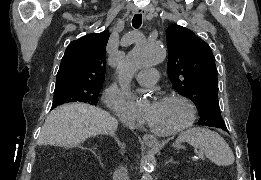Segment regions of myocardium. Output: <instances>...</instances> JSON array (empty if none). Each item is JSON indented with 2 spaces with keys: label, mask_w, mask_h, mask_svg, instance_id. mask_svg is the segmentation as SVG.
<instances>
[{
  "label": "myocardium",
  "mask_w": 261,
  "mask_h": 180,
  "mask_svg": "<svg viewBox=\"0 0 261 180\" xmlns=\"http://www.w3.org/2000/svg\"><path fill=\"white\" fill-rule=\"evenodd\" d=\"M162 98L177 99L186 106L187 113H186V117L183 121L181 128L179 129V131H177L175 133L166 134V135H154L149 132L146 124L144 123L145 131L147 132L148 136H154L158 139L177 140V139L181 138L188 131V129L192 126L194 119H195V105L188 96H186L185 94H183L182 92H179V91H174V90L167 91V92L163 93Z\"/></svg>",
  "instance_id": "obj_1"
}]
</instances>
